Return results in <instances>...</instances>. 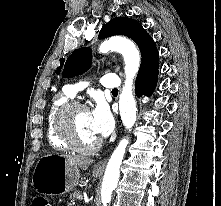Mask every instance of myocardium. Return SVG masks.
<instances>
[{
	"label": "myocardium",
	"mask_w": 221,
	"mask_h": 206,
	"mask_svg": "<svg viewBox=\"0 0 221 206\" xmlns=\"http://www.w3.org/2000/svg\"><path fill=\"white\" fill-rule=\"evenodd\" d=\"M77 110L88 111V107L78 101H70L62 105L56 114V129L61 139L70 149L78 153L90 154L98 150L101 140L98 139L91 145H84L79 141L74 125V112Z\"/></svg>",
	"instance_id": "f54148a6"
}]
</instances>
